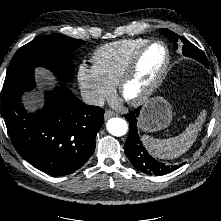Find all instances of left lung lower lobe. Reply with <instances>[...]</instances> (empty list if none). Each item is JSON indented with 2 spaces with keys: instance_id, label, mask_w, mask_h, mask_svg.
<instances>
[{
  "instance_id": "1",
  "label": "left lung lower lobe",
  "mask_w": 221,
  "mask_h": 221,
  "mask_svg": "<svg viewBox=\"0 0 221 221\" xmlns=\"http://www.w3.org/2000/svg\"><path fill=\"white\" fill-rule=\"evenodd\" d=\"M139 112L140 108L124 115L130 125L129 136L124 145V150L132 165L137 170L149 175H164L182 166V164L174 166L165 165L157 162L148 154L138 136L137 117L139 116Z\"/></svg>"
}]
</instances>
